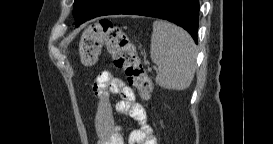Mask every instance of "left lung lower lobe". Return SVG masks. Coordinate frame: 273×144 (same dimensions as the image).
Wrapping results in <instances>:
<instances>
[{"mask_svg":"<svg viewBox=\"0 0 273 144\" xmlns=\"http://www.w3.org/2000/svg\"><path fill=\"white\" fill-rule=\"evenodd\" d=\"M87 4L86 1L82 9L73 13L76 27L103 15H142L165 19L183 27L197 43L199 0H96L93 5Z\"/></svg>","mask_w":273,"mask_h":144,"instance_id":"1","label":"left lung lower lobe"}]
</instances>
